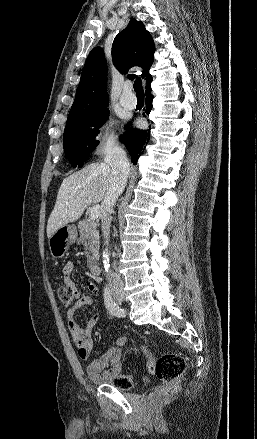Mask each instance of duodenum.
Instances as JSON below:
<instances>
[{"instance_id": "duodenum-1", "label": "duodenum", "mask_w": 257, "mask_h": 439, "mask_svg": "<svg viewBox=\"0 0 257 439\" xmlns=\"http://www.w3.org/2000/svg\"><path fill=\"white\" fill-rule=\"evenodd\" d=\"M90 269H91V273L94 275V276H98L99 274H100V266H99V264L98 263H96V262H91L90 263Z\"/></svg>"}]
</instances>
